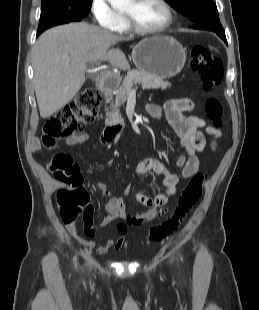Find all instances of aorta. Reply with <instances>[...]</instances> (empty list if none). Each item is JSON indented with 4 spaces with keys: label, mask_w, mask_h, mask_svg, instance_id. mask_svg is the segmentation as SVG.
<instances>
[{
    "label": "aorta",
    "mask_w": 259,
    "mask_h": 310,
    "mask_svg": "<svg viewBox=\"0 0 259 310\" xmlns=\"http://www.w3.org/2000/svg\"><path fill=\"white\" fill-rule=\"evenodd\" d=\"M114 9H121L126 6L130 0H107Z\"/></svg>",
    "instance_id": "1"
}]
</instances>
